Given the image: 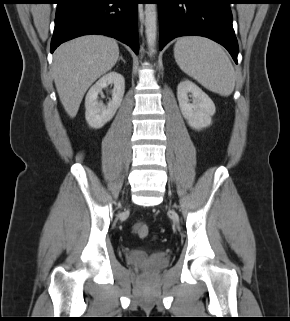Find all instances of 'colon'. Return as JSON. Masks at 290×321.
<instances>
[{
	"instance_id": "colon-1",
	"label": "colon",
	"mask_w": 290,
	"mask_h": 321,
	"mask_svg": "<svg viewBox=\"0 0 290 321\" xmlns=\"http://www.w3.org/2000/svg\"><path fill=\"white\" fill-rule=\"evenodd\" d=\"M134 233L141 239L150 237L151 231L149 226L144 222H138L134 225Z\"/></svg>"
}]
</instances>
